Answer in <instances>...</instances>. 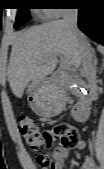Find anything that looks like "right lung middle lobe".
Masks as SVG:
<instances>
[{
	"label": "right lung middle lobe",
	"mask_w": 104,
	"mask_h": 169,
	"mask_svg": "<svg viewBox=\"0 0 104 169\" xmlns=\"http://www.w3.org/2000/svg\"><path fill=\"white\" fill-rule=\"evenodd\" d=\"M19 1H21L22 3L20 7L18 8L16 22L14 25L15 29L19 28L20 26L28 22L30 19L29 7L26 3H23L26 0H19Z\"/></svg>",
	"instance_id": "obj_1"
}]
</instances>
